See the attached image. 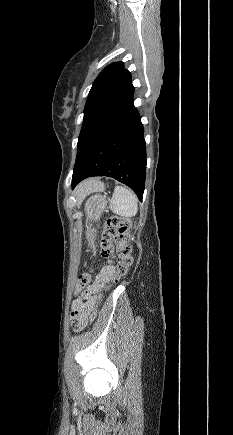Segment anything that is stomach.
<instances>
[{
	"mask_svg": "<svg viewBox=\"0 0 233 435\" xmlns=\"http://www.w3.org/2000/svg\"><path fill=\"white\" fill-rule=\"evenodd\" d=\"M107 206V201L105 196L100 194H95L90 196L85 203V213H86V236L90 246L94 244L95 240V230L92 228L91 222L97 221L103 211Z\"/></svg>",
	"mask_w": 233,
	"mask_h": 435,
	"instance_id": "0dacf381",
	"label": "stomach"
}]
</instances>
